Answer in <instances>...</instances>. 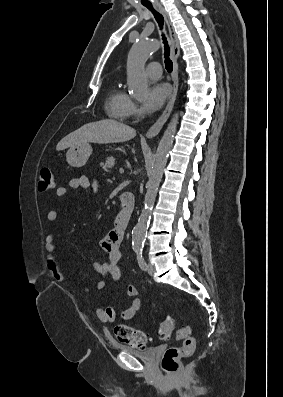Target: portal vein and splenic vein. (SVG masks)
Instances as JSON below:
<instances>
[{"mask_svg": "<svg viewBox=\"0 0 283 397\" xmlns=\"http://www.w3.org/2000/svg\"><path fill=\"white\" fill-rule=\"evenodd\" d=\"M119 173H120V174H123V173H124V169H123V168H120V169H119Z\"/></svg>", "mask_w": 283, "mask_h": 397, "instance_id": "obj_1", "label": "portal vein and splenic vein"}]
</instances>
